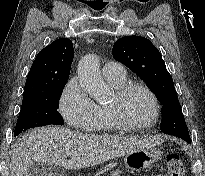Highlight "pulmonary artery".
<instances>
[{
    "mask_svg": "<svg viewBox=\"0 0 205 176\" xmlns=\"http://www.w3.org/2000/svg\"><path fill=\"white\" fill-rule=\"evenodd\" d=\"M105 78L123 79L126 77V70L120 62H107L102 69Z\"/></svg>",
    "mask_w": 205,
    "mask_h": 176,
    "instance_id": "pulmonary-artery-1",
    "label": "pulmonary artery"
}]
</instances>
